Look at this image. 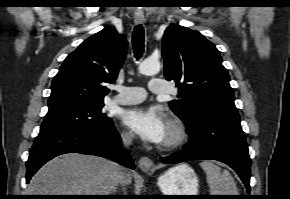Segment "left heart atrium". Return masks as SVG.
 Listing matches in <instances>:
<instances>
[{"label":"left heart atrium","instance_id":"obj_1","mask_svg":"<svg viewBox=\"0 0 290 199\" xmlns=\"http://www.w3.org/2000/svg\"><path fill=\"white\" fill-rule=\"evenodd\" d=\"M123 123L142 140L151 143H162L167 121L163 113L154 107H135L123 115Z\"/></svg>","mask_w":290,"mask_h":199}]
</instances>
